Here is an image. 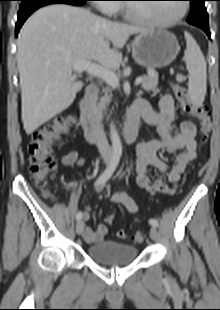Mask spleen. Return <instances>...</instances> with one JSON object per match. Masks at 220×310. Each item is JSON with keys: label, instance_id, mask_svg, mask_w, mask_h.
<instances>
[{"label": "spleen", "instance_id": "1", "mask_svg": "<svg viewBox=\"0 0 220 310\" xmlns=\"http://www.w3.org/2000/svg\"><path fill=\"white\" fill-rule=\"evenodd\" d=\"M184 35L187 44L184 60L189 72L188 93L195 104L201 105L206 95V62L194 38L188 32Z\"/></svg>", "mask_w": 220, "mask_h": 310}]
</instances>
